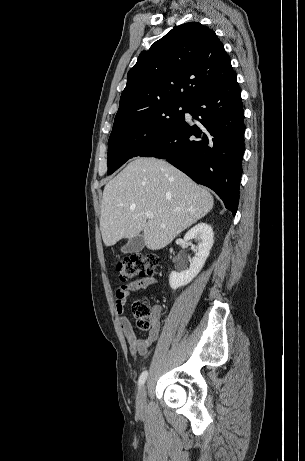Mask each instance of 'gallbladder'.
Segmentation results:
<instances>
[{"label":"gallbladder","instance_id":"gallbladder-1","mask_svg":"<svg viewBox=\"0 0 305 461\" xmlns=\"http://www.w3.org/2000/svg\"><path fill=\"white\" fill-rule=\"evenodd\" d=\"M145 246V240L143 234H139L135 238L131 239L124 246L121 247V252L124 254H132L140 252Z\"/></svg>","mask_w":305,"mask_h":461}]
</instances>
